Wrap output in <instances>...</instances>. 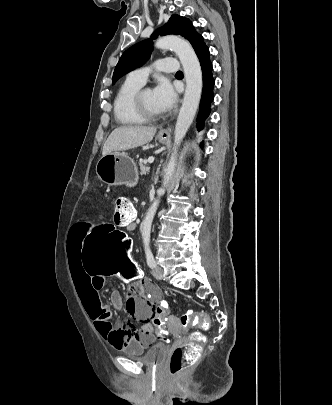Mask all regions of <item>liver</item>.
Listing matches in <instances>:
<instances>
[{"label":"liver","mask_w":332,"mask_h":405,"mask_svg":"<svg viewBox=\"0 0 332 405\" xmlns=\"http://www.w3.org/2000/svg\"><path fill=\"white\" fill-rule=\"evenodd\" d=\"M156 128L151 126H120L115 128L104 143L102 155L123 151L149 143Z\"/></svg>","instance_id":"liver-1"}]
</instances>
